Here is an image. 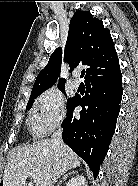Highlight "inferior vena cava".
Here are the masks:
<instances>
[{"mask_svg":"<svg viewBox=\"0 0 138 186\" xmlns=\"http://www.w3.org/2000/svg\"><path fill=\"white\" fill-rule=\"evenodd\" d=\"M61 135H62V129L61 128H59L57 131H55L52 135L51 143L56 149H60L63 146V141H62ZM58 177H59V172H56L55 175H54V179H53V182H52L51 186H54Z\"/></svg>","mask_w":138,"mask_h":186,"instance_id":"1","label":"inferior vena cava"}]
</instances>
